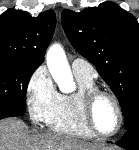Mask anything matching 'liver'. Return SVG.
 <instances>
[{
    "label": "liver",
    "instance_id": "6515ba94",
    "mask_svg": "<svg viewBox=\"0 0 139 150\" xmlns=\"http://www.w3.org/2000/svg\"><path fill=\"white\" fill-rule=\"evenodd\" d=\"M100 147L58 133L30 135L23 121H0V150H99Z\"/></svg>",
    "mask_w": 139,
    "mask_h": 150
}]
</instances>
